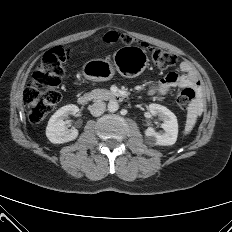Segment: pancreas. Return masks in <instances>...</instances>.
Listing matches in <instances>:
<instances>
[{"instance_id":"cf45deb5","label":"pancreas","mask_w":232,"mask_h":232,"mask_svg":"<svg viewBox=\"0 0 232 232\" xmlns=\"http://www.w3.org/2000/svg\"><path fill=\"white\" fill-rule=\"evenodd\" d=\"M88 95L94 100H106L112 96V93L106 89H95L92 90Z\"/></svg>"}]
</instances>
